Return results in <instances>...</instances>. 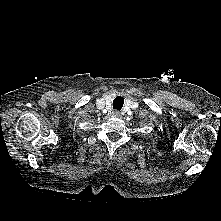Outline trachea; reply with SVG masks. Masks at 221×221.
<instances>
[{
  "mask_svg": "<svg viewBox=\"0 0 221 221\" xmlns=\"http://www.w3.org/2000/svg\"><path fill=\"white\" fill-rule=\"evenodd\" d=\"M124 104V99L120 96L113 100V109L121 110Z\"/></svg>",
  "mask_w": 221,
  "mask_h": 221,
  "instance_id": "3493384b",
  "label": "trachea"
}]
</instances>
